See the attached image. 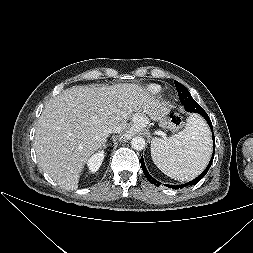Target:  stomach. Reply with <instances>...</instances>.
Returning a JSON list of instances; mask_svg holds the SVG:
<instances>
[{
  "instance_id": "1",
  "label": "stomach",
  "mask_w": 253,
  "mask_h": 253,
  "mask_svg": "<svg viewBox=\"0 0 253 253\" xmlns=\"http://www.w3.org/2000/svg\"><path fill=\"white\" fill-rule=\"evenodd\" d=\"M165 118H166V116L163 115V116L161 117V119H160V122L162 123V121H164L163 119H165Z\"/></svg>"
}]
</instances>
